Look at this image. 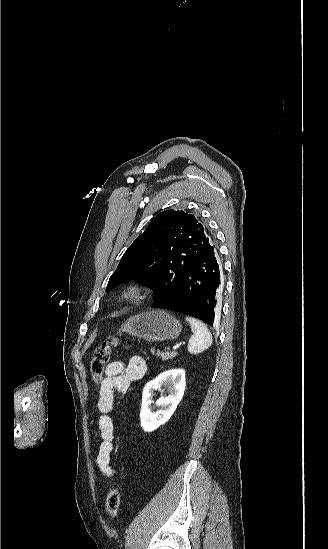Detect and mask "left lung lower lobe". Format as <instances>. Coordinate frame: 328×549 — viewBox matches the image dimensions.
<instances>
[{"mask_svg":"<svg viewBox=\"0 0 328 549\" xmlns=\"http://www.w3.org/2000/svg\"><path fill=\"white\" fill-rule=\"evenodd\" d=\"M221 288L216 250L210 246L191 263L172 292L155 300L153 307L180 312L212 326L217 318Z\"/></svg>","mask_w":328,"mask_h":549,"instance_id":"obj_1","label":"left lung lower lobe"}]
</instances>
